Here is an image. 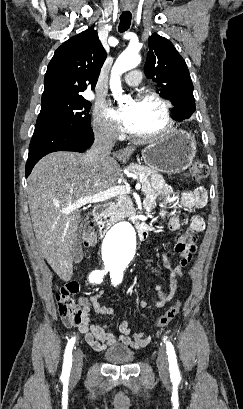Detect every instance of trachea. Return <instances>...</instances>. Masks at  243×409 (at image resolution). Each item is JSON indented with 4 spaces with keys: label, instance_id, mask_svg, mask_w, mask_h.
<instances>
[{
    "label": "trachea",
    "instance_id": "trachea-1",
    "mask_svg": "<svg viewBox=\"0 0 243 409\" xmlns=\"http://www.w3.org/2000/svg\"><path fill=\"white\" fill-rule=\"evenodd\" d=\"M132 19V14L129 11L123 12L120 15L119 32L123 33L127 31L130 27Z\"/></svg>",
    "mask_w": 243,
    "mask_h": 409
}]
</instances>
